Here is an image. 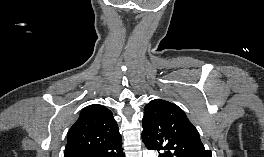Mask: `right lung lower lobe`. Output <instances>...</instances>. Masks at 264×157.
<instances>
[{"mask_svg":"<svg viewBox=\"0 0 264 157\" xmlns=\"http://www.w3.org/2000/svg\"><path fill=\"white\" fill-rule=\"evenodd\" d=\"M101 157H124L122 145L115 148L113 151H110L108 153H105Z\"/></svg>","mask_w":264,"mask_h":157,"instance_id":"right-lung-lower-lobe-1","label":"right lung lower lobe"}]
</instances>
